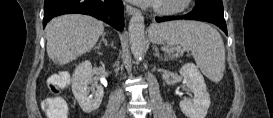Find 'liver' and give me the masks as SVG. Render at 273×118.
Masks as SVG:
<instances>
[{
    "label": "liver",
    "instance_id": "1",
    "mask_svg": "<svg viewBox=\"0 0 273 118\" xmlns=\"http://www.w3.org/2000/svg\"><path fill=\"white\" fill-rule=\"evenodd\" d=\"M103 33V22L91 16H59L46 26L47 54L54 63L67 64L89 52Z\"/></svg>",
    "mask_w": 273,
    "mask_h": 118
}]
</instances>
